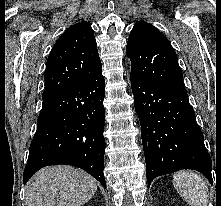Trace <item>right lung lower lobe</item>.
<instances>
[{
	"label": "right lung lower lobe",
	"mask_w": 221,
	"mask_h": 206,
	"mask_svg": "<svg viewBox=\"0 0 221 206\" xmlns=\"http://www.w3.org/2000/svg\"><path fill=\"white\" fill-rule=\"evenodd\" d=\"M104 87L100 70L77 85L43 98L24 184L45 166L66 164L85 170L106 188Z\"/></svg>",
	"instance_id": "98d812e1"
}]
</instances>
